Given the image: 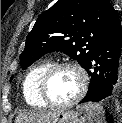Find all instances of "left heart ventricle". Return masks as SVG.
<instances>
[{
    "label": "left heart ventricle",
    "mask_w": 122,
    "mask_h": 123,
    "mask_svg": "<svg viewBox=\"0 0 122 123\" xmlns=\"http://www.w3.org/2000/svg\"><path fill=\"white\" fill-rule=\"evenodd\" d=\"M79 88L78 73L71 68H63L52 76L48 85V96L54 102H66L77 94Z\"/></svg>",
    "instance_id": "obj_1"
}]
</instances>
